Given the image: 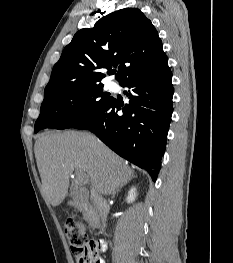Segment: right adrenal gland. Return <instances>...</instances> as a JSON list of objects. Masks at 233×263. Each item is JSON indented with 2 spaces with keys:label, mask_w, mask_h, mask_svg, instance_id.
<instances>
[{
  "label": "right adrenal gland",
  "mask_w": 233,
  "mask_h": 263,
  "mask_svg": "<svg viewBox=\"0 0 233 263\" xmlns=\"http://www.w3.org/2000/svg\"><path fill=\"white\" fill-rule=\"evenodd\" d=\"M136 176H133L132 178H135ZM123 186L119 187L118 189H116L115 191L112 192V197H114L116 195V193H118Z\"/></svg>",
  "instance_id": "1"
}]
</instances>
